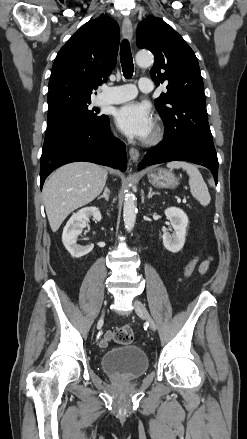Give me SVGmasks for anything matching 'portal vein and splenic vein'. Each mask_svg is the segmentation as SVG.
<instances>
[{
  "mask_svg": "<svg viewBox=\"0 0 247 439\" xmlns=\"http://www.w3.org/2000/svg\"><path fill=\"white\" fill-rule=\"evenodd\" d=\"M183 203H186V199H183Z\"/></svg>",
  "mask_w": 247,
  "mask_h": 439,
  "instance_id": "portal-vein-and-splenic-vein-1",
  "label": "portal vein and splenic vein"
}]
</instances>
